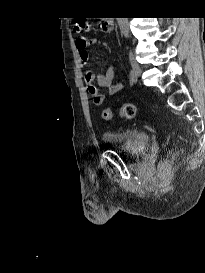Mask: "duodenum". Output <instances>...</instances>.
Returning <instances> with one entry per match:
<instances>
[{
    "label": "duodenum",
    "instance_id": "1",
    "mask_svg": "<svg viewBox=\"0 0 205 273\" xmlns=\"http://www.w3.org/2000/svg\"><path fill=\"white\" fill-rule=\"evenodd\" d=\"M113 26V21L111 18L106 19V21H104L103 25H102V29L105 32H108L112 29Z\"/></svg>",
    "mask_w": 205,
    "mask_h": 273
}]
</instances>
